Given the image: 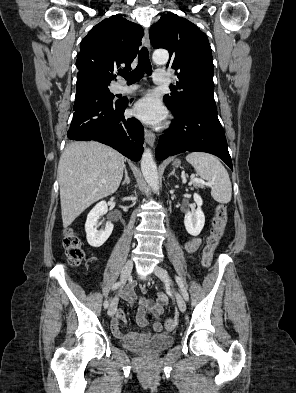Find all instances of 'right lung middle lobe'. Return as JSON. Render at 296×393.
<instances>
[{
    "label": "right lung middle lobe",
    "mask_w": 296,
    "mask_h": 393,
    "mask_svg": "<svg viewBox=\"0 0 296 393\" xmlns=\"http://www.w3.org/2000/svg\"><path fill=\"white\" fill-rule=\"evenodd\" d=\"M91 79L96 84V86L98 88H100L105 93V95H107L110 99L114 98V95L110 93L109 88H108V86L110 84L109 82L95 78V77H91Z\"/></svg>",
    "instance_id": "obj_1"
}]
</instances>
